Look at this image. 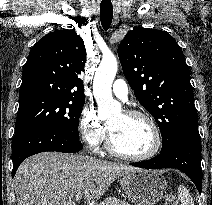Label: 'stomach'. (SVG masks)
Returning a JSON list of instances; mask_svg holds the SVG:
<instances>
[{"instance_id": "stomach-1", "label": "stomach", "mask_w": 212, "mask_h": 205, "mask_svg": "<svg viewBox=\"0 0 212 205\" xmlns=\"http://www.w3.org/2000/svg\"><path fill=\"white\" fill-rule=\"evenodd\" d=\"M120 185L135 205H155L163 198L167 181L159 172L136 169L123 174Z\"/></svg>"}]
</instances>
